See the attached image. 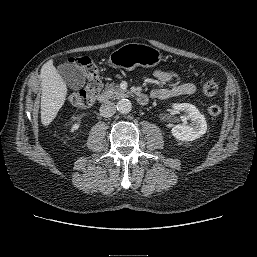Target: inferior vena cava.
I'll return each instance as SVG.
<instances>
[{
    "label": "inferior vena cava",
    "instance_id": "inferior-vena-cava-1",
    "mask_svg": "<svg viewBox=\"0 0 257 257\" xmlns=\"http://www.w3.org/2000/svg\"><path fill=\"white\" fill-rule=\"evenodd\" d=\"M116 112V106L114 103L108 101L101 105L100 107V115L103 117H111Z\"/></svg>",
    "mask_w": 257,
    "mask_h": 257
}]
</instances>
